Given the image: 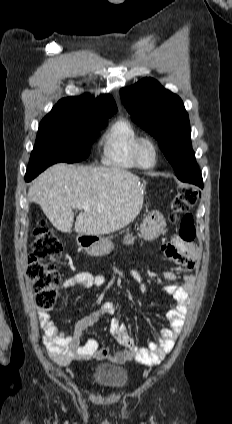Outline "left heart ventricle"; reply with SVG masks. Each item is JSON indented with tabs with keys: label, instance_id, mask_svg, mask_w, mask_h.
<instances>
[{
	"label": "left heart ventricle",
	"instance_id": "1",
	"mask_svg": "<svg viewBox=\"0 0 232 424\" xmlns=\"http://www.w3.org/2000/svg\"><path fill=\"white\" fill-rule=\"evenodd\" d=\"M139 156L143 164L149 165L153 159V149L150 144L144 143L140 147Z\"/></svg>",
	"mask_w": 232,
	"mask_h": 424
}]
</instances>
